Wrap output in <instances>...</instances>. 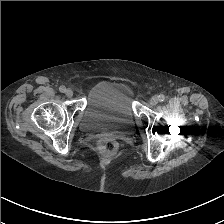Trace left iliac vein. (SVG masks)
<instances>
[{"label": "left iliac vein", "mask_w": 224, "mask_h": 224, "mask_svg": "<svg viewBox=\"0 0 224 224\" xmlns=\"http://www.w3.org/2000/svg\"><path fill=\"white\" fill-rule=\"evenodd\" d=\"M150 102L153 104V105H156L158 102H159V97L158 96H153L150 100Z\"/></svg>", "instance_id": "1"}]
</instances>
